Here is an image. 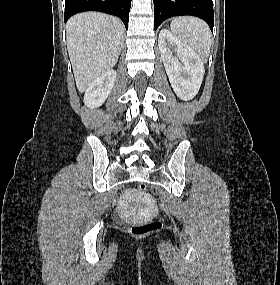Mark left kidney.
<instances>
[{
    "label": "left kidney",
    "mask_w": 280,
    "mask_h": 285,
    "mask_svg": "<svg viewBox=\"0 0 280 285\" xmlns=\"http://www.w3.org/2000/svg\"><path fill=\"white\" fill-rule=\"evenodd\" d=\"M158 45L174 92L182 100L193 99L200 89L205 73L200 57L167 29L160 31ZM171 49L175 50L177 57H174Z\"/></svg>",
    "instance_id": "left-kidney-1"
}]
</instances>
